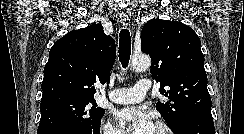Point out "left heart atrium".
<instances>
[{
	"label": "left heart atrium",
	"instance_id": "39dd6f15",
	"mask_svg": "<svg viewBox=\"0 0 244 134\" xmlns=\"http://www.w3.org/2000/svg\"><path fill=\"white\" fill-rule=\"evenodd\" d=\"M115 118L119 126L128 134H152L155 127L150 116L135 107L117 111Z\"/></svg>",
	"mask_w": 244,
	"mask_h": 134
}]
</instances>
